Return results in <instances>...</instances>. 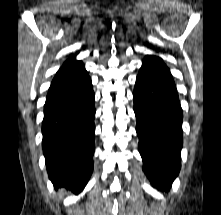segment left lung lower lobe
I'll list each match as a JSON object with an SVG mask.
<instances>
[{
	"mask_svg": "<svg viewBox=\"0 0 221 215\" xmlns=\"http://www.w3.org/2000/svg\"><path fill=\"white\" fill-rule=\"evenodd\" d=\"M143 170L169 191L181 168L182 109L170 70L155 55L144 58L133 92Z\"/></svg>",
	"mask_w": 221,
	"mask_h": 215,
	"instance_id": "obj_1",
	"label": "left lung lower lobe"
}]
</instances>
